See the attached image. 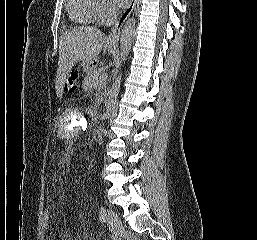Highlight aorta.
Returning <instances> with one entry per match:
<instances>
[{"mask_svg": "<svg viewBox=\"0 0 257 240\" xmlns=\"http://www.w3.org/2000/svg\"><path fill=\"white\" fill-rule=\"evenodd\" d=\"M134 36H135V19L132 17V18H129L125 22V25L121 32L120 57H119V63L117 65V69L115 71L116 78H115L114 83L112 84V87L108 91V100L105 103V109H104L102 119H105L109 115V113L115 103V100L118 96V93L120 90V84H121L122 66H123V63L125 62L127 56L129 55Z\"/></svg>", "mask_w": 257, "mask_h": 240, "instance_id": "1", "label": "aorta"}]
</instances>
